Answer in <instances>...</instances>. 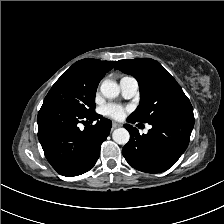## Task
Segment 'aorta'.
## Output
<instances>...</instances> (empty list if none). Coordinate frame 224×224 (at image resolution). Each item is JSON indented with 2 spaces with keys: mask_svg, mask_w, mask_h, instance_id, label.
Returning a JSON list of instances; mask_svg holds the SVG:
<instances>
[{
  "mask_svg": "<svg viewBox=\"0 0 224 224\" xmlns=\"http://www.w3.org/2000/svg\"><path fill=\"white\" fill-rule=\"evenodd\" d=\"M102 95L106 98H116L120 93L118 84L111 80H105L100 87ZM113 140L119 145H125L130 139V134L125 128H118L113 131Z\"/></svg>",
  "mask_w": 224,
  "mask_h": 224,
  "instance_id": "aorta-1",
  "label": "aorta"
}]
</instances>
